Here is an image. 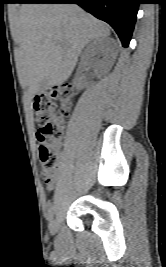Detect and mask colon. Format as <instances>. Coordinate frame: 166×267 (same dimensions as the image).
Instances as JSON below:
<instances>
[{
	"label": "colon",
	"mask_w": 166,
	"mask_h": 267,
	"mask_svg": "<svg viewBox=\"0 0 166 267\" xmlns=\"http://www.w3.org/2000/svg\"><path fill=\"white\" fill-rule=\"evenodd\" d=\"M74 92L70 84L57 86L33 102L38 125L39 159L45 182L54 178L59 166L58 145L63 137L64 118L73 104Z\"/></svg>",
	"instance_id": "5ec220e1"
}]
</instances>
